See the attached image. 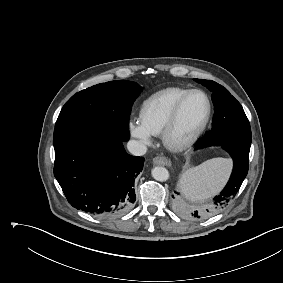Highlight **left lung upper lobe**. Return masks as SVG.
<instances>
[{
	"label": "left lung upper lobe",
	"instance_id": "1",
	"mask_svg": "<svg viewBox=\"0 0 283 283\" xmlns=\"http://www.w3.org/2000/svg\"><path fill=\"white\" fill-rule=\"evenodd\" d=\"M212 92L213 125L203 140L210 145L251 146V128L240 103L229 91L211 80L195 79Z\"/></svg>",
	"mask_w": 283,
	"mask_h": 283
}]
</instances>
